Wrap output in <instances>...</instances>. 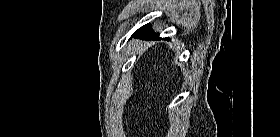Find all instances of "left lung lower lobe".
I'll return each mask as SVG.
<instances>
[{
    "label": "left lung lower lobe",
    "mask_w": 280,
    "mask_h": 137,
    "mask_svg": "<svg viewBox=\"0 0 280 137\" xmlns=\"http://www.w3.org/2000/svg\"><path fill=\"white\" fill-rule=\"evenodd\" d=\"M132 36L141 37V38H150V39H161L158 37L159 36L158 33H154L150 30L149 24H146V25L140 27L137 31H135L133 33ZM165 39H168V38H165Z\"/></svg>",
    "instance_id": "left-lung-lower-lobe-1"
}]
</instances>
